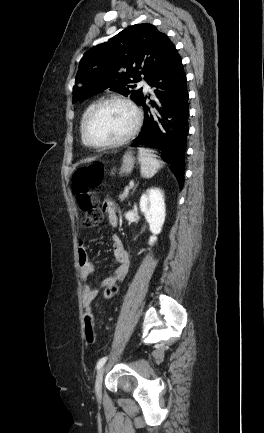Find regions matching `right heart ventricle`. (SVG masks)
Returning a JSON list of instances; mask_svg holds the SVG:
<instances>
[{
	"instance_id": "e07e8e85",
	"label": "right heart ventricle",
	"mask_w": 264,
	"mask_h": 433,
	"mask_svg": "<svg viewBox=\"0 0 264 433\" xmlns=\"http://www.w3.org/2000/svg\"><path fill=\"white\" fill-rule=\"evenodd\" d=\"M91 106H92V105H89V106L85 109V111H84V113H83V115H82V118H81L80 127H81V124H82V121H83V118H84L86 112L89 110V108H90ZM82 141L84 142L83 138H82ZM84 143H85V142H84Z\"/></svg>"
}]
</instances>
